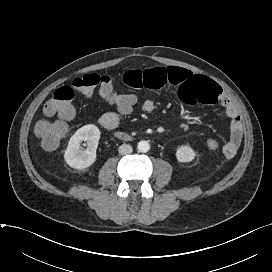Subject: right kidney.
Masks as SVG:
<instances>
[{"mask_svg": "<svg viewBox=\"0 0 272 272\" xmlns=\"http://www.w3.org/2000/svg\"><path fill=\"white\" fill-rule=\"evenodd\" d=\"M100 139V130L94 124L79 128L70 138L65 150V162L72 168L83 170L90 167L96 160V149ZM86 142V149H81V143Z\"/></svg>", "mask_w": 272, "mask_h": 272, "instance_id": "obj_1", "label": "right kidney"}]
</instances>
